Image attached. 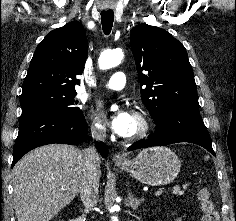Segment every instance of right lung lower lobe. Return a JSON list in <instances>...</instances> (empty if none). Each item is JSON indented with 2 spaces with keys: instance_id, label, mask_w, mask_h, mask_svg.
<instances>
[{
  "instance_id": "98d812e1",
  "label": "right lung lower lobe",
  "mask_w": 236,
  "mask_h": 221,
  "mask_svg": "<svg viewBox=\"0 0 236 221\" xmlns=\"http://www.w3.org/2000/svg\"><path fill=\"white\" fill-rule=\"evenodd\" d=\"M87 133L88 126L82 113L42 109L22 114L12 167L36 147L53 143L79 144L87 138ZM96 147L103 157L108 156L103 142L97 143Z\"/></svg>"
}]
</instances>
